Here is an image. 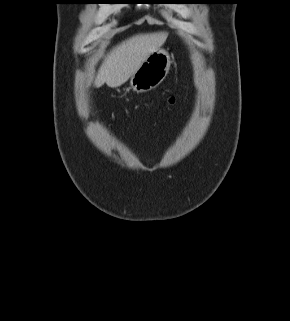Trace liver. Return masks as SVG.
I'll list each match as a JSON object with an SVG mask.
<instances>
[{
	"instance_id": "1",
	"label": "liver",
	"mask_w": 290,
	"mask_h": 321,
	"mask_svg": "<svg viewBox=\"0 0 290 321\" xmlns=\"http://www.w3.org/2000/svg\"><path fill=\"white\" fill-rule=\"evenodd\" d=\"M167 38L166 32L135 35L114 47L101 65L95 86L106 83L111 88L124 84L149 57L160 49Z\"/></svg>"
}]
</instances>
